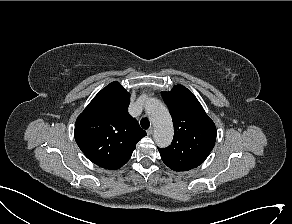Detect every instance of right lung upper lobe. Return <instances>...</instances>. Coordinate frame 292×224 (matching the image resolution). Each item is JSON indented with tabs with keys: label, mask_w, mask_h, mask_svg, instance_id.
Wrapping results in <instances>:
<instances>
[{
	"label": "right lung upper lobe",
	"mask_w": 292,
	"mask_h": 224,
	"mask_svg": "<svg viewBox=\"0 0 292 224\" xmlns=\"http://www.w3.org/2000/svg\"><path fill=\"white\" fill-rule=\"evenodd\" d=\"M130 94L117 81L103 88L78 116L75 140L94 164L109 170L122 167L146 136L129 115Z\"/></svg>",
	"instance_id": "right-lung-upper-lobe-1"
}]
</instances>
